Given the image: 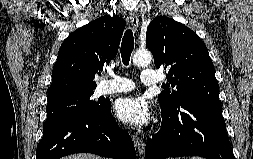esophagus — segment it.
<instances>
[{
	"label": "esophagus",
	"mask_w": 253,
	"mask_h": 159,
	"mask_svg": "<svg viewBox=\"0 0 253 159\" xmlns=\"http://www.w3.org/2000/svg\"><path fill=\"white\" fill-rule=\"evenodd\" d=\"M129 21L131 23L133 31L136 32L137 29H138V26H139V18L136 15V13H134V12L130 13ZM132 140H133L135 148L137 149V152H138L139 156L143 158L144 151H145V141H144V139L137 136V135H132Z\"/></svg>",
	"instance_id": "1"
}]
</instances>
